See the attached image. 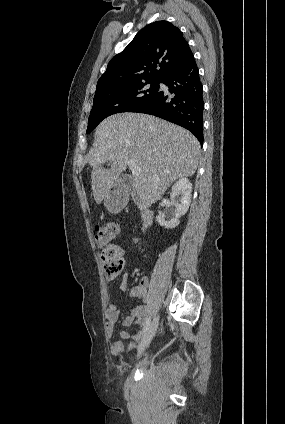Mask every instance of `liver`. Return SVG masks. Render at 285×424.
Masks as SVG:
<instances>
[{
    "label": "liver",
    "instance_id": "liver-1",
    "mask_svg": "<svg viewBox=\"0 0 285 424\" xmlns=\"http://www.w3.org/2000/svg\"><path fill=\"white\" fill-rule=\"evenodd\" d=\"M200 153L196 137L173 123L140 113L110 116L97 127L87 155L94 199L100 204L134 161L141 168L134 184L137 196L147 205L155 203L174 181L195 173Z\"/></svg>",
    "mask_w": 285,
    "mask_h": 424
}]
</instances>
